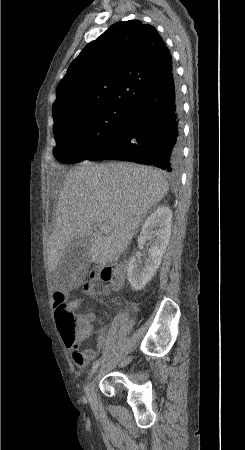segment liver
Returning a JSON list of instances; mask_svg holds the SVG:
<instances>
[{
	"instance_id": "liver-1",
	"label": "liver",
	"mask_w": 245,
	"mask_h": 450,
	"mask_svg": "<svg viewBox=\"0 0 245 450\" xmlns=\"http://www.w3.org/2000/svg\"><path fill=\"white\" fill-rule=\"evenodd\" d=\"M168 189L160 172L135 163L83 164L66 173L48 241L50 270L56 269L76 237L91 239V262L117 261ZM96 224H107L111 233H94ZM74 306L69 304V308Z\"/></svg>"
}]
</instances>
